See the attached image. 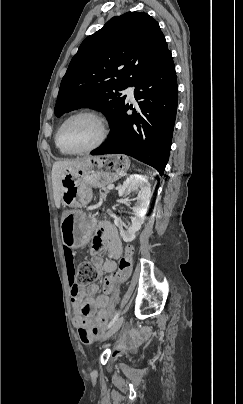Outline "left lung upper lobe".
Returning a JSON list of instances; mask_svg holds the SVG:
<instances>
[{
	"label": "left lung upper lobe",
	"mask_w": 243,
	"mask_h": 404,
	"mask_svg": "<svg viewBox=\"0 0 243 404\" xmlns=\"http://www.w3.org/2000/svg\"><path fill=\"white\" fill-rule=\"evenodd\" d=\"M168 52L158 22L147 13L111 18L82 42L72 58L60 85L55 116L89 107L103 112L113 124L125 107L126 96L117 92L134 86Z\"/></svg>",
	"instance_id": "5c2ea615"
}]
</instances>
